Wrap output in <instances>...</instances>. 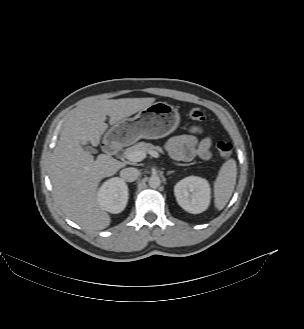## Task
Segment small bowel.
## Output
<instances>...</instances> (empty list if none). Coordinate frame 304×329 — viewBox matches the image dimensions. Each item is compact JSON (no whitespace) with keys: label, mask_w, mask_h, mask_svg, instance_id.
Here are the masks:
<instances>
[{"label":"small bowel","mask_w":304,"mask_h":329,"mask_svg":"<svg viewBox=\"0 0 304 329\" xmlns=\"http://www.w3.org/2000/svg\"><path fill=\"white\" fill-rule=\"evenodd\" d=\"M202 133L200 126L192 127L188 133L172 138L167 143V149L170 156L179 162H189L199 157L202 160H210L211 138L206 136L198 139L197 135Z\"/></svg>","instance_id":"small-bowel-1"}]
</instances>
